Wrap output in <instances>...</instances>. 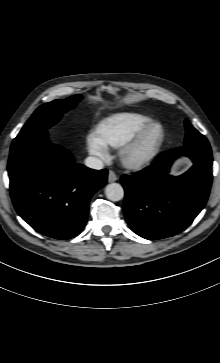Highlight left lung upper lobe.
I'll return each mask as SVG.
<instances>
[{
  "instance_id": "obj_1",
  "label": "left lung upper lobe",
  "mask_w": 220,
  "mask_h": 363,
  "mask_svg": "<svg viewBox=\"0 0 220 363\" xmlns=\"http://www.w3.org/2000/svg\"><path fill=\"white\" fill-rule=\"evenodd\" d=\"M186 127V137L184 141V145H203L209 146V143L204 135L198 132L189 122L185 120Z\"/></svg>"
}]
</instances>
